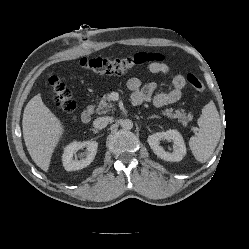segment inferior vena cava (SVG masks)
Here are the masks:
<instances>
[{"mask_svg":"<svg viewBox=\"0 0 249 249\" xmlns=\"http://www.w3.org/2000/svg\"><path fill=\"white\" fill-rule=\"evenodd\" d=\"M110 121V117H99L93 121V127L96 129H103L105 128Z\"/></svg>","mask_w":249,"mask_h":249,"instance_id":"602c4592","label":"inferior vena cava"}]
</instances>
